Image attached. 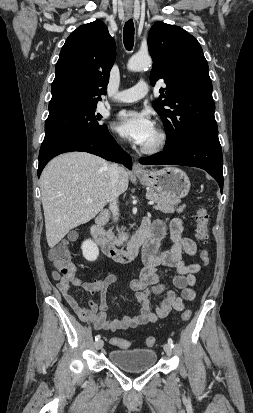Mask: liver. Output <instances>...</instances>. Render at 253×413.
Returning <instances> with one entry per match:
<instances>
[{"instance_id": "liver-1", "label": "liver", "mask_w": 253, "mask_h": 413, "mask_svg": "<svg viewBox=\"0 0 253 413\" xmlns=\"http://www.w3.org/2000/svg\"><path fill=\"white\" fill-rule=\"evenodd\" d=\"M108 167L107 161L87 152L64 153L46 165L40 188L50 248L71 229L93 219L110 201L113 186ZM128 183V172L120 167L119 194L127 190Z\"/></svg>"}]
</instances>
